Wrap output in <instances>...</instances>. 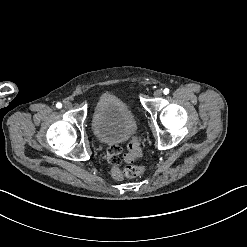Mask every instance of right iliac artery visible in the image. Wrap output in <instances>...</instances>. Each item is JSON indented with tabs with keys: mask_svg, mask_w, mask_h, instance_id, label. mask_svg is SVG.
I'll use <instances>...</instances> for the list:
<instances>
[{
	"mask_svg": "<svg viewBox=\"0 0 247 247\" xmlns=\"http://www.w3.org/2000/svg\"><path fill=\"white\" fill-rule=\"evenodd\" d=\"M56 107H57V108H61V107H62V104H61L60 102H58V103L56 104Z\"/></svg>",
	"mask_w": 247,
	"mask_h": 247,
	"instance_id": "82829eb1",
	"label": "right iliac artery"
}]
</instances>
